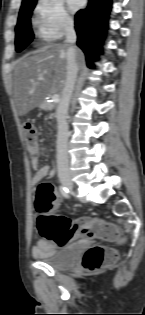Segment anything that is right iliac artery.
I'll use <instances>...</instances> for the list:
<instances>
[{"label": "right iliac artery", "mask_w": 145, "mask_h": 315, "mask_svg": "<svg viewBox=\"0 0 145 315\" xmlns=\"http://www.w3.org/2000/svg\"><path fill=\"white\" fill-rule=\"evenodd\" d=\"M59 191L65 198H69V190L64 186H59Z\"/></svg>", "instance_id": "right-iliac-artery-1"}]
</instances>
